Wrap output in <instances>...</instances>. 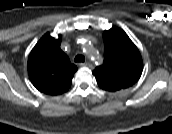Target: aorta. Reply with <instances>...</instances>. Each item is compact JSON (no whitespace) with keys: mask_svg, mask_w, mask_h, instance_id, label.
Segmentation results:
<instances>
[{"mask_svg":"<svg viewBox=\"0 0 172 134\" xmlns=\"http://www.w3.org/2000/svg\"><path fill=\"white\" fill-rule=\"evenodd\" d=\"M86 52H87V54H89V56H92V55H93V54H92V49L86 48Z\"/></svg>","mask_w":172,"mask_h":134,"instance_id":"762f6f07","label":"aorta"}]
</instances>
